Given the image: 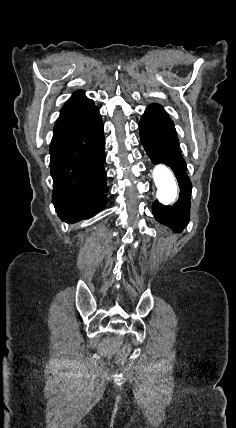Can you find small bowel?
Here are the masks:
<instances>
[{"instance_id":"small-bowel-1","label":"small bowel","mask_w":236,"mask_h":428,"mask_svg":"<svg viewBox=\"0 0 236 428\" xmlns=\"http://www.w3.org/2000/svg\"><path fill=\"white\" fill-rule=\"evenodd\" d=\"M115 345V342H106L101 346V351L108 353L114 349Z\"/></svg>"}]
</instances>
